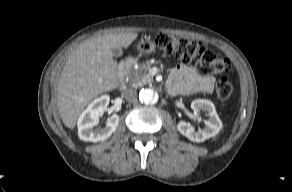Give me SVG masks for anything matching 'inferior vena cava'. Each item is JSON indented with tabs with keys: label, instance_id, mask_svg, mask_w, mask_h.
<instances>
[{
	"label": "inferior vena cava",
	"instance_id": "1",
	"mask_svg": "<svg viewBox=\"0 0 292 192\" xmlns=\"http://www.w3.org/2000/svg\"><path fill=\"white\" fill-rule=\"evenodd\" d=\"M124 97L127 101H137V91L134 88H128L124 91Z\"/></svg>",
	"mask_w": 292,
	"mask_h": 192
}]
</instances>
